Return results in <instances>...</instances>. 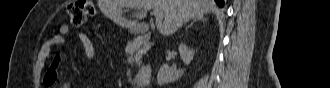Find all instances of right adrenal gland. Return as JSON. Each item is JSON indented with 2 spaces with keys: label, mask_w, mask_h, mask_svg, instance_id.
Wrapping results in <instances>:
<instances>
[{
  "label": "right adrenal gland",
  "mask_w": 330,
  "mask_h": 88,
  "mask_svg": "<svg viewBox=\"0 0 330 88\" xmlns=\"http://www.w3.org/2000/svg\"><path fill=\"white\" fill-rule=\"evenodd\" d=\"M196 21H202V22H205V21H207V18H205L204 16H200V17L195 18V19L190 23V25L187 26L186 30H187L188 28H190V27L193 25V23L196 22Z\"/></svg>",
  "instance_id": "1"
}]
</instances>
